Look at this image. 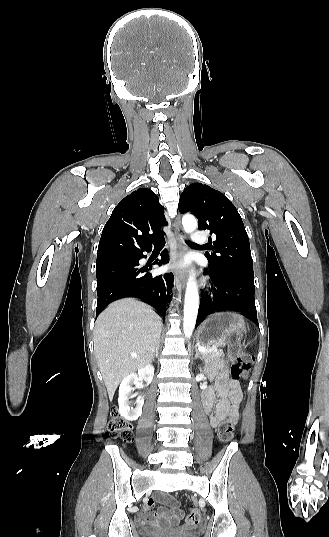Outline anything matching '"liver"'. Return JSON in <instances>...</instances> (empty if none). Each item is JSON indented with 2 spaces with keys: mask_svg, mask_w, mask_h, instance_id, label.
Instances as JSON below:
<instances>
[{
  "mask_svg": "<svg viewBox=\"0 0 329 537\" xmlns=\"http://www.w3.org/2000/svg\"><path fill=\"white\" fill-rule=\"evenodd\" d=\"M160 333V317L133 298L110 304L98 316L94 351L110 400L123 378L151 363Z\"/></svg>",
  "mask_w": 329,
  "mask_h": 537,
  "instance_id": "6515ba94",
  "label": "liver"
}]
</instances>
